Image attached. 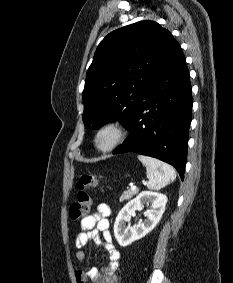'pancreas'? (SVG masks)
<instances>
[{"instance_id":"obj_1","label":"pancreas","mask_w":233,"mask_h":283,"mask_svg":"<svg viewBox=\"0 0 233 283\" xmlns=\"http://www.w3.org/2000/svg\"><path fill=\"white\" fill-rule=\"evenodd\" d=\"M138 193L137 190L132 191V190H128V191H124L120 197V202H123L124 200H129L131 199L134 195H136Z\"/></svg>"}]
</instances>
